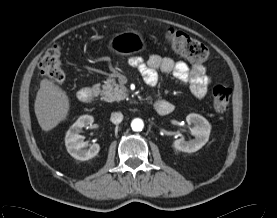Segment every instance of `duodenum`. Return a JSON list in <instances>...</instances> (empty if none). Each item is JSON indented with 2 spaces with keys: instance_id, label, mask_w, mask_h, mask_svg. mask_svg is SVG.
I'll return each instance as SVG.
<instances>
[{
  "instance_id": "obj_1",
  "label": "duodenum",
  "mask_w": 277,
  "mask_h": 218,
  "mask_svg": "<svg viewBox=\"0 0 277 218\" xmlns=\"http://www.w3.org/2000/svg\"><path fill=\"white\" fill-rule=\"evenodd\" d=\"M95 95H96V91L92 88H82L78 92L79 100L85 104H89V103L93 102ZM158 109H160V111L163 114H166L170 111L171 105L169 102L163 100L160 102V106L158 107Z\"/></svg>"
}]
</instances>
